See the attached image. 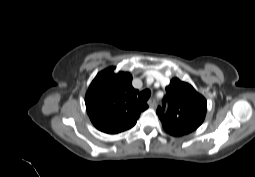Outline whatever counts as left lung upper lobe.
I'll use <instances>...</instances> for the list:
<instances>
[{
    "label": "left lung upper lobe",
    "mask_w": 255,
    "mask_h": 177,
    "mask_svg": "<svg viewBox=\"0 0 255 177\" xmlns=\"http://www.w3.org/2000/svg\"><path fill=\"white\" fill-rule=\"evenodd\" d=\"M166 92L163 108L158 107L156 111L165 131L176 137L195 131L203 123L206 115L205 98L189 83L178 78L171 80ZM166 103L168 109L164 113Z\"/></svg>",
    "instance_id": "5c2ea615"
}]
</instances>
